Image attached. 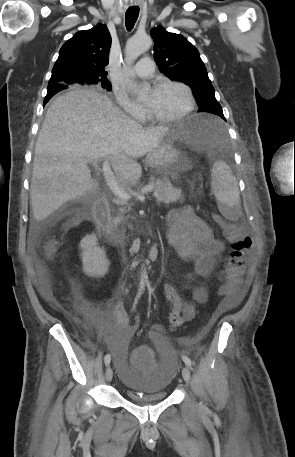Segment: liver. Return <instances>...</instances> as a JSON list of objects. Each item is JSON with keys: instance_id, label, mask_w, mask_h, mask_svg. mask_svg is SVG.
<instances>
[{"instance_id": "6515ba94", "label": "liver", "mask_w": 295, "mask_h": 457, "mask_svg": "<svg viewBox=\"0 0 295 457\" xmlns=\"http://www.w3.org/2000/svg\"><path fill=\"white\" fill-rule=\"evenodd\" d=\"M171 128H144L104 94L75 89L50 105L35 146L30 202L41 221L98 186L88 163L109 160L119 180L136 184L137 158L151 152Z\"/></svg>"}]
</instances>
